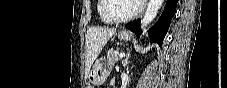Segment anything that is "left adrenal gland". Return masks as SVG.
I'll return each mask as SVG.
<instances>
[{
	"mask_svg": "<svg viewBox=\"0 0 227 88\" xmlns=\"http://www.w3.org/2000/svg\"><path fill=\"white\" fill-rule=\"evenodd\" d=\"M129 58H130V54L128 53L123 61V66L124 67H128V63H129Z\"/></svg>",
	"mask_w": 227,
	"mask_h": 88,
	"instance_id": "a2214340",
	"label": "left adrenal gland"
}]
</instances>
